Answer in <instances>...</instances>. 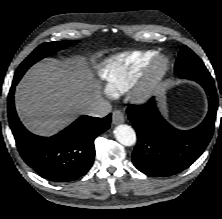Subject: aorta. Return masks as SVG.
Returning <instances> with one entry per match:
<instances>
[{"label": "aorta", "instance_id": "aorta-1", "mask_svg": "<svg viewBox=\"0 0 222 219\" xmlns=\"http://www.w3.org/2000/svg\"><path fill=\"white\" fill-rule=\"evenodd\" d=\"M116 140L124 146H132L136 143V133L131 126L121 124L114 130Z\"/></svg>", "mask_w": 222, "mask_h": 219}]
</instances>
